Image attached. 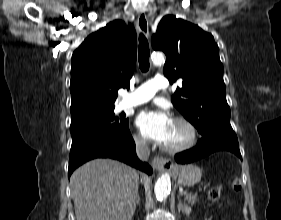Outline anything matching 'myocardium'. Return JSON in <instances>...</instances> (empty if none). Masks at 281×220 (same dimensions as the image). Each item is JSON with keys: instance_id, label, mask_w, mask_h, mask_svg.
Listing matches in <instances>:
<instances>
[{"instance_id": "1", "label": "myocardium", "mask_w": 281, "mask_h": 220, "mask_svg": "<svg viewBox=\"0 0 281 220\" xmlns=\"http://www.w3.org/2000/svg\"><path fill=\"white\" fill-rule=\"evenodd\" d=\"M176 123L182 124L183 126L186 127L187 131H188V138L187 140L177 146H166L163 145V150L169 152V153H178V152H182L185 151L187 149H190L191 147H193L197 141V128L196 126L187 118L185 117H176L174 118V121Z\"/></svg>"}]
</instances>
